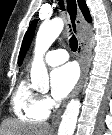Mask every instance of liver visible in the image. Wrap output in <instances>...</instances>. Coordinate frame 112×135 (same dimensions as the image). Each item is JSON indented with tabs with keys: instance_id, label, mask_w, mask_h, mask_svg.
I'll return each mask as SVG.
<instances>
[{
	"instance_id": "1",
	"label": "liver",
	"mask_w": 112,
	"mask_h": 135,
	"mask_svg": "<svg viewBox=\"0 0 112 135\" xmlns=\"http://www.w3.org/2000/svg\"><path fill=\"white\" fill-rule=\"evenodd\" d=\"M2 135H51L50 126L43 124H26L18 120L7 119L3 122Z\"/></svg>"
}]
</instances>
